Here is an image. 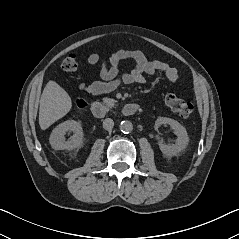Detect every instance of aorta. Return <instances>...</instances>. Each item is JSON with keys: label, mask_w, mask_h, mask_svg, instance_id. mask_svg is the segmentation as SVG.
<instances>
[{"label": "aorta", "mask_w": 239, "mask_h": 239, "mask_svg": "<svg viewBox=\"0 0 239 239\" xmlns=\"http://www.w3.org/2000/svg\"><path fill=\"white\" fill-rule=\"evenodd\" d=\"M119 128H120L121 132H123V133H130L133 130V124H132V122L125 120L120 123Z\"/></svg>", "instance_id": "obj_1"}]
</instances>
